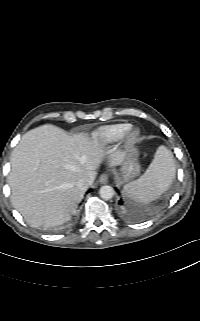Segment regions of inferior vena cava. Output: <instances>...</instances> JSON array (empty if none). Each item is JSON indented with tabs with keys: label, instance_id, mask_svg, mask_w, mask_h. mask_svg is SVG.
<instances>
[{
	"label": "inferior vena cava",
	"instance_id": "inferior-vena-cava-1",
	"mask_svg": "<svg viewBox=\"0 0 200 321\" xmlns=\"http://www.w3.org/2000/svg\"><path fill=\"white\" fill-rule=\"evenodd\" d=\"M89 184H90V182H89V180L87 178H82V179L77 181L76 186L79 189H81L83 191H86L88 186H89Z\"/></svg>",
	"mask_w": 200,
	"mask_h": 321
}]
</instances>
